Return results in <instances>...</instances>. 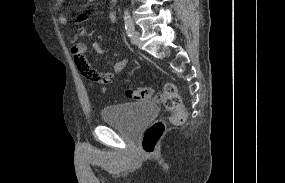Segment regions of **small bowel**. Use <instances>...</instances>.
Segmentation results:
<instances>
[{"instance_id":"small-bowel-1","label":"small bowel","mask_w":285,"mask_h":183,"mask_svg":"<svg viewBox=\"0 0 285 183\" xmlns=\"http://www.w3.org/2000/svg\"><path fill=\"white\" fill-rule=\"evenodd\" d=\"M63 1L64 0H58L59 3H62ZM109 14H110V17L112 19H115V15H114L113 11H110ZM85 19H86V16L81 15L78 17L77 21L82 22ZM67 21H68V19H67L66 15L62 14L59 16V22L62 25H65L67 23ZM92 48L97 54H103L104 53V49L99 42H94L92 44ZM86 52H87V45L84 43H77L72 48V53L74 55L76 63L77 64H79V63L86 64L90 70V75H89V77H86V78H88L89 80H91L93 82H97V83L101 84L102 87L100 88V92L102 94H104V93H106V85L111 83L115 74L120 73L126 67V65L128 63V59L125 58V59H122V60L116 62L110 71L101 72V71H98L92 67L91 62L86 55Z\"/></svg>"}]
</instances>
